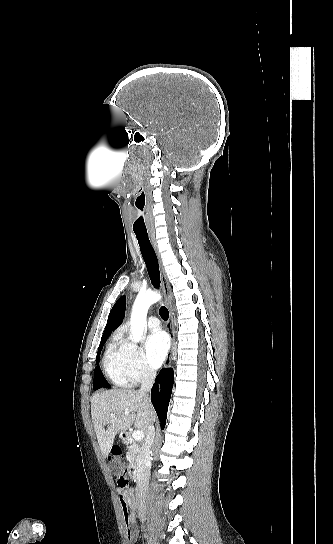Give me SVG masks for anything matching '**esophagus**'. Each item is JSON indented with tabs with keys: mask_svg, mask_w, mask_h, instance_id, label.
Instances as JSON below:
<instances>
[{
	"mask_svg": "<svg viewBox=\"0 0 333 544\" xmlns=\"http://www.w3.org/2000/svg\"><path fill=\"white\" fill-rule=\"evenodd\" d=\"M150 241H151V244H152V246L154 248V251L156 253L158 263H159L162 291H163L164 296H165V298H166V300H167V302L169 304V306H168L169 318H168V321L166 323V327H167V330H168V332L170 334V337H171V348H170V351H169V353H168V355L166 357V360H165V366L169 367L171 365V363H172L173 356H174V353L176 351L175 335H174V327H173V318H172V309H171V306H170V303H171V300H172V294H171V288H170V284H169L167 275H166L164 267L162 265V261H161V258H160V254H159V251H158V247H157V243H156V239H155L154 235H150Z\"/></svg>",
	"mask_w": 333,
	"mask_h": 544,
	"instance_id": "34e87169",
	"label": "esophagus"
}]
</instances>
